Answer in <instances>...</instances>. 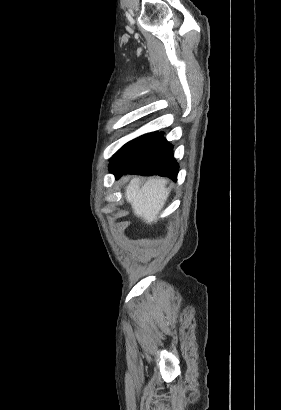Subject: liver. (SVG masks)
<instances>
[{"instance_id":"6515ba94","label":"liver","mask_w":281,"mask_h":410,"mask_svg":"<svg viewBox=\"0 0 281 410\" xmlns=\"http://www.w3.org/2000/svg\"><path fill=\"white\" fill-rule=\"evenodd\" d=\"M169 195L166 180L151 178L140 187V178L135 177L125 188V197L134 214L146 224L156 223Z\"/></svg>"}]
</instances>
